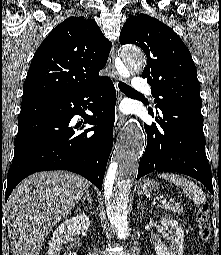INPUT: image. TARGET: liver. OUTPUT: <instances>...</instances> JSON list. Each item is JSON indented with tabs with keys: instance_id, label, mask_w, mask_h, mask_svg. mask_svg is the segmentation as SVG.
I'll return each instance as SVG.
<instances>
[{
	"instance_id": "6515ba94",
	"label": "liver",
	"mask_w": 221,
	"mask_h": 255,
	"mask_svg": "<svg viewBox=\"0 0 221 255\" xmlns=\"http://www.w3.org/2000/svg\"><path fill=\"white\" fill-rule=\"evenodd\" d=\"M88 188V180L65 171L38 172L23 180L4 205L13 254L39 255L48 233Z\"/></svg>"
}]
</instances>
